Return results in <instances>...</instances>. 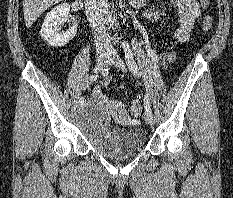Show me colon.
<instances>
[{"label": "colon", "instance_id": "5ec220e1", "mask_svg": "<svg viewBox=\"0 0 233 198\" xmlns=\"http://www.w3.org/2000/svg\"><path fill=\"white\" fill-rule=\"evenodd\" d=\"M203 7H207L209 5V0H200ZM213 25L212 18L207 15L204 17L202 22L203 30L208 32L211 30ZM129 110L133 116H139L142 110V102L140 99H135L129 103Z\"/></svg>", "mask_w": 233, "mask_h": 198}]
</instances>
